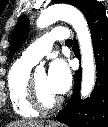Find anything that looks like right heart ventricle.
I'll return each mask as SVG.
<instances>
[{"label":"right heart ventricle","instance_id":"1","mask_svg":"<svg viewBox=\"0 0 108 127\" xmlns=\"http://www.w3.org/2000/svg\"><path fill=\"white\" fill-rule=\"evenodd\" d=\"M33 65L21 58L13 63L7 77L8 94L12 108L16 114L24 118L38 115V111L30 104L28 96V82Z\"/></svg>","mask_w":108,"mask_h":127}]
</instances>
